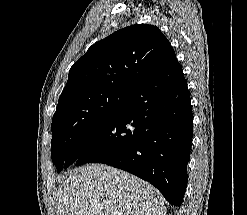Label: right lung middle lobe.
Returning <instances> with one entry per match:
<instances>
[{
    "label": "right lung middle lobe",
    "mask_w": 247,
    "mask_h": 215,
    "mask_svg": "<svg viewBox=\"0 0 247 215\" xmlns=\"http://www.w3.org/2000/svg\"><path fill=\"white\" fill-rule=\"evenodd\" d=\"M131 95L100 91L84 96L69 95L58 102L51 124V156L57 172L69 166L67 157L79 139L120 112Z\"/></svg>",
    "instance_id": "dd1d6c3e"
}]
</instances>
